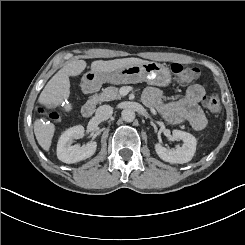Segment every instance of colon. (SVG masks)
Listing matches in <instances>:
<instances>
[{"label":"colon","mask_w":245,"mask_h":245,"mask_svg":"<svg viewBox=\"0 0 245 245\" xmlns=\"http://www.w3.org/2000/svg\"><path fill=\"white\" fill-rule=\"evenodd\" d=\"M171 71L174 75H176L177 77H179L181 80L184 81L193 80L197 78L200 74L198 68L182 65L179 63L172 64ZM203 105L206 108V110L212 114H216L221 110L220 98L215 94L204 97ZM39 111L47 115L50 119L54 121L60 120V115L57 112L49 111L46 108H40Z\"/></svg>","instance_id":"obj_1"}]
</instances>
